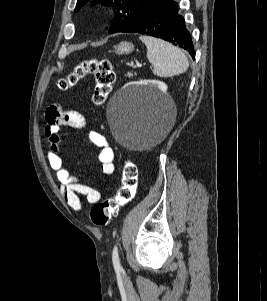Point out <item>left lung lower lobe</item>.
I'll list each match as a JSON object with an SVG mask.
<instances>
[{
  "label": "left lung lower lobe",
  "mask_w": 267,
  "mask_h": 301,
  "mask_svg": "<svg viewBox=\"0 0 267 301\" xmlns=\"http://www.w3.org/2000/svg\"><path fill=\"white\" fill-rule=\"evenodd\" d=\"M178 9V4L174 0H158L118 32L139 33L161 38L187 50L194 59L192 39Z\"/></svg>",
  "instance_id": "0a47b994"
}]
</instances>
